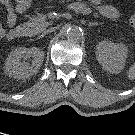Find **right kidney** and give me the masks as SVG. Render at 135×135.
<instances>
[{"label":"right kidney","instance_id":"right-kidney-1","mask_svg":"<svg viewBox=\"0 0 135 135\" xmlns=\"http://www.w3.org/2000/svg\"><path fill=\"white\" fill-rule=\"evenodd\" d=\"M32 57L33 60L30 63H21V59H27ZM44 59V52L37 48L32 47L26 49L24 47L16 48L10 53L5 62V72L13 78L25 79L38 72Z\"/></svg>","mask_w":135,"mask_h":135}]
</instances>
